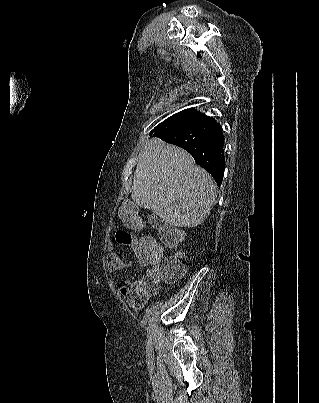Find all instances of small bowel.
I'll use <instances>...</instances> for the list:
<instances>
[{"mask_svg": "<svg viewBox=\"0 0 319 403\" xmlns=\"http://www.w3.org/2000/svg\"><path fill=\"white\" fill-rule=\"evenodd\" d=\"M114 244L119 249H138L137 235H132L131 229H116ZM138 263L142 268H149L155 263L147 259L142 252H137ZM130 262H124L121 257L114 251H111L107 259V268L111 272H121L125 268L130 267ZM149 271V270H148ZM124 282L127 284L124 287ZM117 295L124 296L127 300L128 309H143L145 300L149 299V292L143 279L135 277H124L117 280Z\"/></svg>", "mask_w": 319, "mask_h": 403, "instance_id": "obj_1", "label": "small bowel"}]
</instances>
